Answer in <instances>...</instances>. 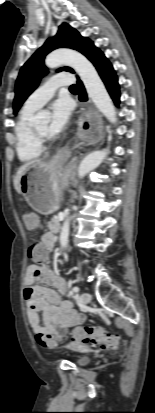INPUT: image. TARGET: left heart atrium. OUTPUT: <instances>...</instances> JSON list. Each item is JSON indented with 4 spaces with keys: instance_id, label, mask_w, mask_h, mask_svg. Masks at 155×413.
I'll return each instance as SVG.
<instances>
[{
    "instance_id": "39dd6f15",
    "label": "left heart atrium",
    "mask_w": 155,
    "mask_h": 413,
    "mask_svg": "<svg viewBox=\"0 0 155 413\" xmlns=\"http://www.w3.org/2000/svg\"><path fill=\"white\" fill-rule=\"evenodd\" d=\"M72 107L67 99L60 98L51 105V119L47 135L53 137L59 134L69 122Z\"/></svg>"
}]
</instances>
